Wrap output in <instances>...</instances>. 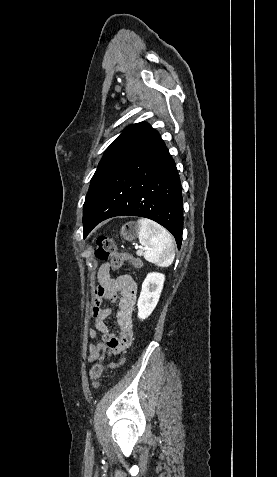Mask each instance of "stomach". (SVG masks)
<instances>
[{"label":"stomach","instance_id":"1","mask_svg":"<svg viewBox=\"0 0 277 477\" xmlns=\"http://www.w3.org/2000/svg\"><path fill=\"white\" fill-rule=\"evenodd\" d=\"M139 228L134 222H128L120 229V235L124 240L133 241L138 237Z\"/></svg>","mask_w":277,"mask_h":477}]
</instances>
